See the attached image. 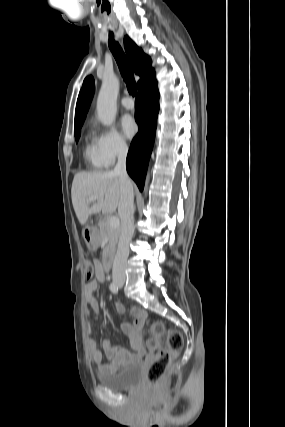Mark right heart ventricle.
<instances>
[{
  "mask_svg": "<svg viewBox=\"0 0 285 427\" xmlns=\"http://www.w3.org/2000/svg\"><path fill=\"white\" fill-rule=\"evenodd\" d=\"M83 156L87 164L93 169H101L107 166L99 153L95 139L91 135L87 136Z\"/></svg>",
  "mask_w": 285,
  "mask_h": 427,
  "instance_id": "e07e8e85",
  "label": "right heart ventricle"
}]
</instances>
